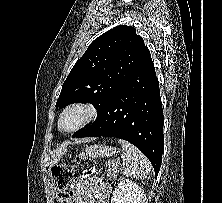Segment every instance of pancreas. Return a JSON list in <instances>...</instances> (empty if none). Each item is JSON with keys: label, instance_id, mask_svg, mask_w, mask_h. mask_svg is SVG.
<instances>
[{"label": "pancreas", "instance_id": "pancreas-1", "mask_svg": "<svg viewBox=\"0 0 222 203\" xmlns=\"http://www.w3.org/2000/svg\"><path fill=\"white\" fill-rule=\"evenodd\" d=\"M106 168H107V175L109 177H112V178H116L117 177L118 164L116 163V161L109 162L106 165Z\"/></svg>", "mask_w": 222, "mask_h": 203}]
</instances>
